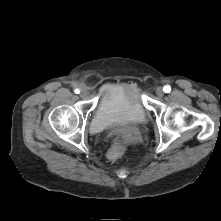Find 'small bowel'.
<instances>
[{"label": "small bowel", "mask_w": 221, "mask_h": 221, "mask_svg": "<svg viewBox=\"0 0 221 221\" xmlns=\"http://www.w3.org/2000/svg\"><path fill=\"white\" fill-rule=\"evenodd\" d=\"M128 86H130V87H134V85H133V84H131V85H128Z\"/></svg>", "instance_id": "small-bowel-1"}]
</instances>
